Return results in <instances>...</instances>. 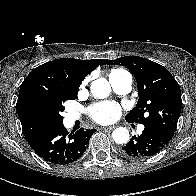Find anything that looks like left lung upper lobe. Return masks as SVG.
I'll return each mask as SVG.
<instances>
[{
  "mask_svg": "<svg viewBox=\"0 0 196 196\" xmlns=\"http://www.w3.org/2000/svg\"><path fill=\"white\" fill-rule=\"evenodd\" d=\"M103 64L122 65L137 81L139 100L126 120L151 124L173 137L180 115L182 100L179 84L162 65L138 56L105 60Z\"/></svg>",
  "mask_w": 196,
  "mask_h": 196,
  "instance_id": "left-lung-upper-lobe-1",
  "label": "left lung upper lobe"
}]
</instances>
